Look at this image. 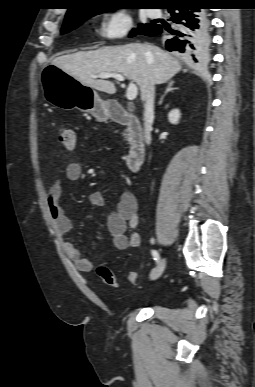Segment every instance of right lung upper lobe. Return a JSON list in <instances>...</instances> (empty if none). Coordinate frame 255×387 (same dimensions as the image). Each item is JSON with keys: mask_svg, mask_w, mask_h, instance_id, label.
Listing matches in <instances>:
<instances>
[{"mask_svg": "<svg viewBox=\"0 0 255 387\" xmlns=\"http://www.w3.org/2000/svg\"><path fill=\"white\" fill-rule=\"evenodd\" d=\"M73 7L69 8L66 17H74L86 13L88 11L95 10H109L113 8H107L102 6H114L121 5L126 0H75ZM168 5L180 0H164Z\"/></svg>", "mask_w": 255, "mask_h": 387, "instance_id": "cb5924a9", "label": "right lung upper lobe"}]
</instances>
